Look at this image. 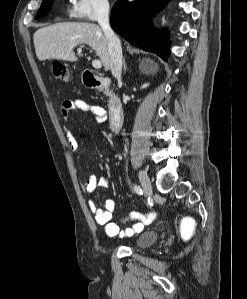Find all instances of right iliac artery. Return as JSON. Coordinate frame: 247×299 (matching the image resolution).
<instances>
[{
	"label": "right iliac artery",
	"instance_id": "obj_1",
	"mask_svg": "<svg viewBox=\"0 0 247 299\" xmlns=\"http://www.w3.org/2000/svg\"><path fill=\"white\" fill-rule=\"evenodd\" d=\"M134 191H135L137 194H140V195L143 194L142 189H141L139 186H137V185L134 186Z\"/></svg>",
	"mask_w": 247,
	"mask_h": 299
}]
</instances>
